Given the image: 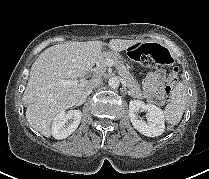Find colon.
<instances>
[{
    "instance_id": "1",
    "label": "colon",
    "mask_w": 209,
    "mask_h": 179,
    "mask_svg": "<svg viewBox=\"0 0 209 179\" xmlns=\"http://www.w3.org/2000/svg\"><path fill=\"white\" fill-rule=\"evenodd\" d=\"M128 56L146 66H158L171 62L169 51L159 44L135 43L128 49ZM178 68H173L163 88L164 93L169 95L178 80Z\"/></svg>"
}]
</instances>
